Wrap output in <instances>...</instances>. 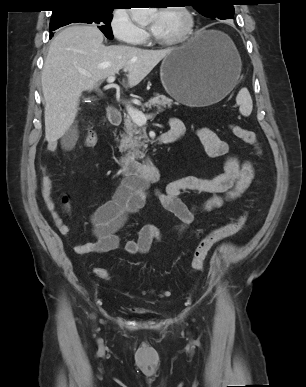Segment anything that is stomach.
<instances>
[{
  "label": "stomach",
  "instance_id": "obj_1",
  "mask_svg": "<svg viewBox=\"0 0 306 387\" xmlns=\"http://www.w3.org/2000/svg\"><path fill=\"white\" fill-rule=\"evenodd\" d=\"M241 59L232 40L216 30L198 31L162 61L161 82L176 101L208 106L222 100L238 82Z\"/></svg>",
  "mask_w": 306,
  "mask_h": 387
}]
</instances>
